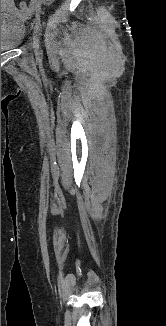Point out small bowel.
<instances>
[{
  "label": "small bowel",
  "mask_w": 166,
  "mask_h": 326,
  "mask_svg": "<svg viewBox=\"0 0 166 326\" xmlns=\"http://www.w3.org/2000/svg\"><path fill=\"white\" fill-rule=\"evenodd\" d=\"M1 7H6L7 9L11 10L12 12H17V8L14 5L13 0H1Z\"/></svg>",
  "instance_id": "obj_1"
}]
</instances>
